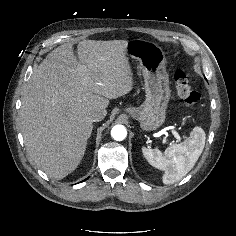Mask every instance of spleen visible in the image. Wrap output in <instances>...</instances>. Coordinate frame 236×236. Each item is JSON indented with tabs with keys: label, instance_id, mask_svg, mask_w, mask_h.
<instances>
[{
	"label": "spleen",
	"instance_id": "1",
	"mask_svg": "<svg viewBox=\"0 0 236 236\" xmlns=\"http://www.w3.org/2000/svg\"><path fill=\"white\" fill-rule=\"evenodd\" d=\"M206 134L201 127H195L181 144L170 145L164 152L159 149L142 148L147 161L155 168L164 171V184L181 180L195 165L203 152Z\"/></svg>",
	"mask_w": 236,
	"mask_h": 236
}]
</instances>
